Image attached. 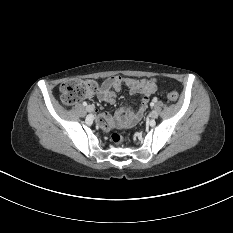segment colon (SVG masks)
Here are the masks:
<instances>
[{
	"label": "colon",
	"instance_id": "1",
	"mask_svg": "<svg viewBox=\"0 0 233 233\" xmlns=\"http://www.w3.org/2000/svg\"><path fill=\"white\" fill-rule=\"evenodd\" d=\"M98 89L96 81L92 79H71L65 81L60 86L61 101L65 106H71L81 98H86L94 95ZM178 93L176 91H169L167 99L171 102L178 100ZM111 140L114 143L121 142L122 138L119 134H112Z\"/></svg>",
	"mask_w": 233,
	"mask_h": 233
}]
</instances>
